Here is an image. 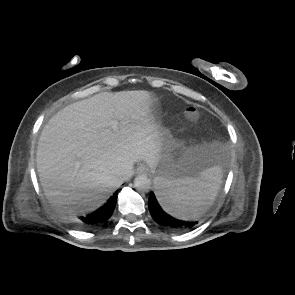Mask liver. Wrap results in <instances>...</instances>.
Listing matches in <instances>:
<instances>
[{
  "mask_svg": "<svg viewBox=\"0 0 295 295\" xmlns=\"http://www.w3.org/2000/svg\"><path fill=\"white\" fill-rule=\"evenodd\" d=\"M155 101L145 90L102 92L57 112L36 153L48 201L68 213L90 212L132 175L134 163L154 168L162 148Z\"/></svg>",
  "mask_w": 295,
  "mask_h": 295,
  "instance_id": "1",
  "label": "liver"
}]
</instances>
